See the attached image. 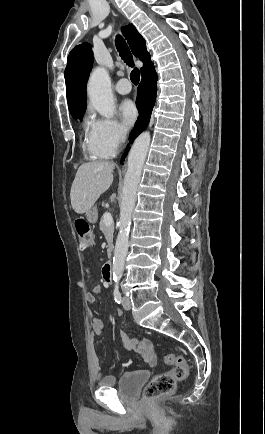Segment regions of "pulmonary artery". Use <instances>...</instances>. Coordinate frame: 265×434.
Wrapping results in <instances>:
<instances>
[{
    "label": "pulmonary artery",
    "instance_id": "obj_1",
    "mask_svg": "<svg viewBox=\"0 0 265 434\" xmlns=\"http://www.w3.org/2000/svg\"><path fill=\"white\" fill-rule=\"evenodd\" d=\"M125 80L127 79L122 78L120 81H117L115 87L116 91L122 95H126L130 92V87H131L130 81H125Z\"/></svg>",
    "mask_w": 265,
    "mask_h": 434
}]
</instances>
